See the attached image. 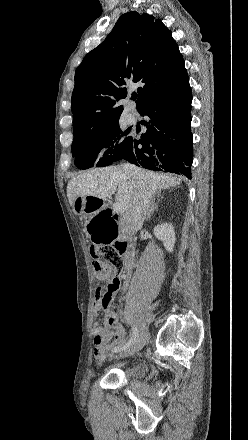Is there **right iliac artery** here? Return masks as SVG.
<instances>
[{
    "mask_svg": "<svg viewBox=\"0 0 248 440\" xmlns=\"http://www.w3.org/2000/svg\"><path fill=\"white\" fill-rule=\"evenodd\" d=\"M138 335H139V332H138L137 328L133 326V328H132V336H131L130 340L127 343L123 344V345L115 347L112 351L113 352H120L122 350H126L127 348L130 347V345H132L137 340Z\"/></svg>",
    "mask_w": 248,
    "mask_h": 440,
    "instance_id": "82829eb1",
    "label": "right iliac artery"
}]
</instances>
